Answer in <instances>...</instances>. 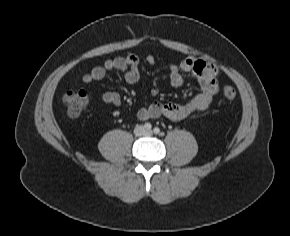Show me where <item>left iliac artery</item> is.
<instances>
[{"label":"left iliac artery","mask_w":290,"mask_h":236,"mask_svg":"<svg viewBox=\"0 0 290 236\" xmlns=\"http://www.w3.org/2000/svg\"><path fill=\"white\" fill-rule=\"evenodd\" d=\"M153 132H154L155 134H159V133H160V129H159L158 127H155V128L153 129Z\"/></svg>","instance_id":"1"}]
</instances>
